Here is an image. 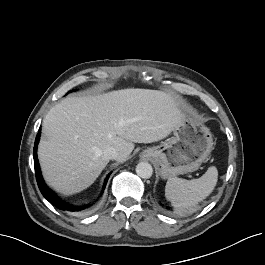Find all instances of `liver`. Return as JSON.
<instances>
[{
    "label": "liver",
    "mask_w": 265,
    "mask_h": 265,
    "mask_svg": "<svg viewBox=\"0 0 265 265\" xmlns=\"http://www.w3.org/2000/svg\"><path fill=\"white\" fill-rule=\"evenodd\" d=\"M186 115L170 94L149 89H122L86 97H67L43 120L38 158L45 180L64 195L94 183L109 162L104 150L114 147L124 162L134 143L166 138Z\"/></svg>",
    "instance_id": "liver-1"
}]
</instances>
